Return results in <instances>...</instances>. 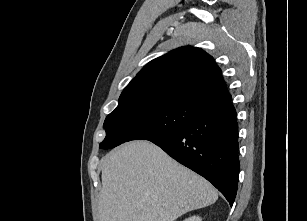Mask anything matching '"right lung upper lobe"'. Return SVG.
Returning a JSON list of instances; mask_svg holds the SVG:
<instances>
[{
	"instance_id": "right-lung-upper-lobe-1",
	"label": "right lung upper lobe",
	"mask_w": 307,
	"mask_h": 221,
	"mask_svg": "<svg viewBox=\"0 0 307 221\" xmlns=\"http://www.w3.org/2000/svg\"><path fill=\"white\" fill-rule=\"evenodd\" d=\"M144 98L182 100L206 108L231 100L213 58L191 46L146 64L123 90L119 102Z\"/></svg>"
}]
</instances>
